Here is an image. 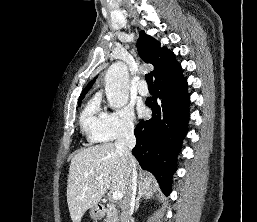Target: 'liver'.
I'll use <instances>...</instances> for the list:
<instances>
[{
    "mask_svg": "<svg viewBox=\"0 0 257 222\" xmlns=\"http://www.w3.org/2000/svg\"><path fill=\"white\" fill-rule=\"evenodd\" d=\"M100 177V180L96 178ZM130 176L124 155L114 143L88 147L74 155L67 181V204L72 222H80L84 213L96 206L108 189L129 191ZM153 179L141 177L139 189H152Z\"/></svg>",
    "mask_w": 257,
    "mask_h": 222,
    "instance_id": "liver-1",
    "label": "liver"
}]
</instances>
